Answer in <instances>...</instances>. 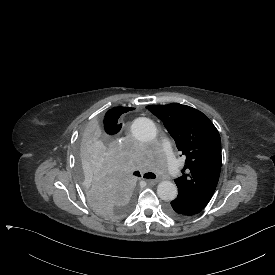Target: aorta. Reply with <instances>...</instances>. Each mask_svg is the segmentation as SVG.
<instances>
[{
  "mask_svg": "<svg viewBox=\"0 0 275 275\" xmlns=\"http://www.w3.org/2000/svg\"><path fill=\"white\" fill-rule=\"evenodd\" d=\"M133 136L140 141H151L155 139L157 131L154 122L146 117L134 120L131 126ZM157 194L164 201H172L177 197V187L171 181H162L158 184Z\"/></svg>",
  "mask_w": 275,
  "mask_h": 275,
  "instance_id": "obj_1",
  "label": "aorta"
}]
</instances>
